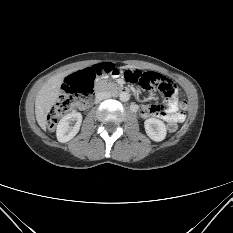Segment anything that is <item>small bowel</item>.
<instances>
[{"mask_svg":"<svg viewBox=\"0 0 233 233\" xmlns=\"http://www.w3.org/2000/svg\"><path fill=\"white\" fill-rule=\"evenodd\" d=\"M174 85V84H173ZM170 102L166 106H150L143 104L140 107V114L143 118H160L167 123H177L184 120V114L180 111L177 104L178 93L174 85L173 91L166 93Z\"/></svg>","mask_w":233,"mask_h":233,"instance_id":"1","label":"small bowel"}]
</instances>
